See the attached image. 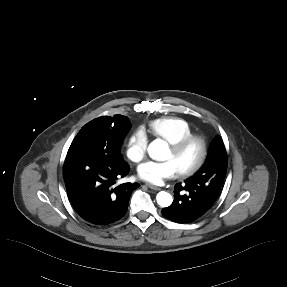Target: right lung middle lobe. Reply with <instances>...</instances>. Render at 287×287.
I'll return each mask as SVG.
<instances>
[{"label":"right lung middle lobe","instance_id":"dd1d6c3e","mask_svg":"<svg viewBox=\"0 0 287 287\" xmlns=\"http://www.w3.org/2000/svg\"><path fill=\"white\" fill-rule=\"evenodd\" d=\"M100 125L94 120L85 124L74 138L67 154L80 151L95 152L110 158L121 156V143L126 136L130 122L126 118L117 128L115 134L107 138L99 131Z\"/></svg>","mask_w":287,"mask_h":287}]
</instances>
